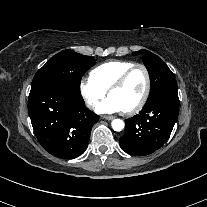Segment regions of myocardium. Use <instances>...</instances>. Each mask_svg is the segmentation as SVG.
Wrapping results in <instances>:
<instances>
[{
    "instance_id": "f54148a6",
    "label": "myocardium",
    "mask_w": 207,
    "mask_h": 207,
    "mask_svg": "<svg viewBox=\"0 0 207 207\" xmlns=\"http://www.w3.org/2000/svg\"><path fill=\"white\" fill-rule=\"evenodd\" d=\"M136 69H141L145 75V78H146L145 91L143 93V96L141 97V99L138 101L137 104H135L133 107H131L127 110H123V113L125 115H132V114L139 112L144 107V105L146 104V102L150 96L151 76H150V72H149L148 68L144 64H141V63L133 64L122 75H120L108 89V93L110 94L113 90L122 87L125 84V82L127 81V79L129 78V76Z\"/></svg>"
}]
</instances>
